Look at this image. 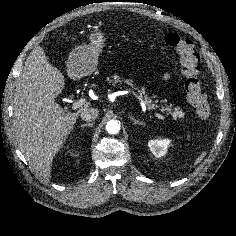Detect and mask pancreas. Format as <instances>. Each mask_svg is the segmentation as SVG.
<instances>
[{"label":"pancreas","instance_id":"obj_1","mask_svg":"<svg viewBox=\"0 0 236 236\" xmlns=\"http://www.w3.org/2000/svg\"><path fill=\"white\" fill-rule=\"evenodd\" d=\"M106 81H107V83L108 84H112V85H116V84H121L122 82H124V83H126V84H128V85H130V86H133V84H132V81L131 80H127V79H122V78H120L119 76H117V75H111V76H109V77H106ZM133 88L135 89V90H138V92H139V97H142V95H144L145 94V91H144V89L142 88V89H138V87H135V86H133ZM146 101H147V103H148V105H150V106H154V104H153V101L151 100V99H146ZM162 111H166V112H169L170 114H172L174 117H176V118H183L184 117V112L182 111V109L180 108V107H176V108H174V110L170 107V106H166V107H162Z\"/></svg>","mask_w":236,"mask_h":236}]
</instances>
